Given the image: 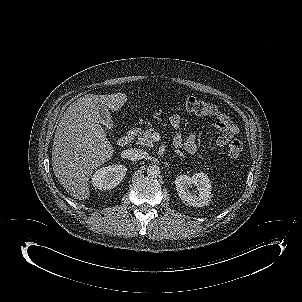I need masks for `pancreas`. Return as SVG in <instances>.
<instances>
[{
    "mask_svg": "<svg viewBox=\"0 0 302 302\" xmlns=\"http://www.w3.org/2000/svg\"><path fill=\"white\" fill-rule=\"evenodd\" d=\"M153 134L152 129H147L139 132L138 137H137V142L141 145L144 146H151L152 145V140L151 136Z\"/></svg>",
    "mask_w": 302,
    "mask_h": 302,
    "instance_id": "cf45deb5",
    "label": "pancreas"
}]
</instances>
